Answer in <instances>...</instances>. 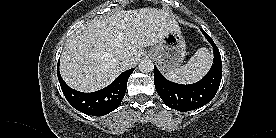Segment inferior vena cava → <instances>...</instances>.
Returning a JSON list of instances; mask_svg holds the SVG:
<instances>
[{
	"label": "inferior vena cava",
	"mask_w": 276,
	"mask_h": 138,
	"mask_svg": "<svg viewBox=\"0 0 276 138\" xmlns=\"http://www.w3.org/2000/svg\"><path fill=\"white\" fill-rule=\"evenodd\" d=\"M120 62L125 65V66H128L131 64V58L130 56L128 55H122L120 58H119Z\"/></svg>",
	"instance_id": "inferior-vena-cava-1"
}]
</instances>
